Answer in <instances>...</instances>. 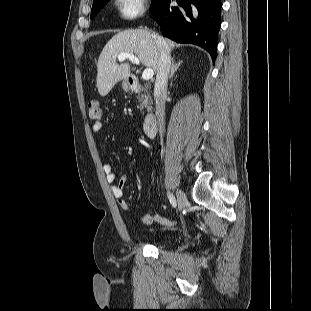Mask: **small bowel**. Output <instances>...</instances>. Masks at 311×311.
Instances as JSON below:
<instances>
[{"instance_id": "c3829d8e", "label": "small bowel", "mask_w": 311, "mask_h": 311, "mask_svg": "<svg viewBox=\"0 0 311 311\" xmlns=\"http://www.w3.org/2000/svg\"><path fill=\"white\" fill-rule=\"evenodd\" d=\"M102 128V124L100 122H96L92 125L91 130L92 132H99ZM103 171L106 175V179L108 183H110L111 191L113 195L117 198L120 208L128 212L129 211V205L127 201L124 199V193L123 189L127 183V177L122 176L118 182L117 181V174L114 171L113 165L111 163H105L103 164ZM139 221L143 225H151L153 222H157L161 224L164 228L170 227L175 224L174 221L169 220L165 217H161L159 215H155L153 213H146L140 216Z\"/></svg>"}]
</instances>
